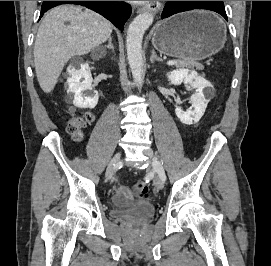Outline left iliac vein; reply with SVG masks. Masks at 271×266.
Segmentation results:
<instances>
[{"label": "left iliac vein", "mask_w": 271, "mask_h": 266, "mask_svg": "<svg viewBox=\"0 0 271 266\" xmlns=\"http://www.w3.org/2000/svg\"><path fill=\"white\" fill-rule=\"evenodd\" d=\"M144 154L148 157L149 161H151L153 167H154V164H159V161H158V159L152 149L145 150ZM154 184L158 189H163V187H164V181L162 180V178L159 175L155 178Z\"/></svg>", "instance_id": "left-iliac-vein-1"}]
</instances>
